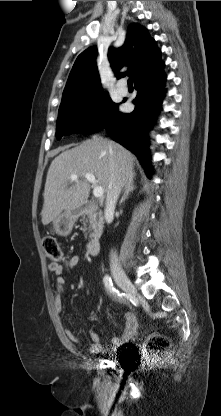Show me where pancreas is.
Returning <instances> with one entry per match:
<instances>
[{
  "label": "pancreas",
  "instance_id": "1",
  "mask_svg": "<svg viewBox=\"0 0 221 416\" xmlns=\"http://www.w3.org/2000/svg\"><path fill=\"white\" fill-rule=\"evenodd\" d=\"M86 223H89V227H88L89 231H94V233L99 234V235L102 233L104 219H103L101 212H96L94 209H89L85 211L84 216H83V224H84L85 229H87ZM94 233H91L90 237L94 236L95 235Z\"/></svg>",
  "mask_w": 221,
  "mask_h": 416
}]
</instances>
